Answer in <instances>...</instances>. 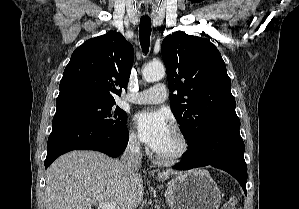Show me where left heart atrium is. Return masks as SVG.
<instances>
[{
	"label": "left heart atrium",
	"mask_w": 299,
	"mask_h": 209,
	"mask_svg": "<svg viewBox=\"0 0 299 209\" xmlns=\"http://www.w3.org/2000/svg\"><path fill=\"white\" fill-rule=\"evenodd\" d=\"M134 124L140 139L154 151L171 132L166 113L162 110H144L134 116Z\"/></svg>",
	"instance_id": "left-heart-atrium-1"
}]
</instances>
